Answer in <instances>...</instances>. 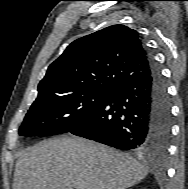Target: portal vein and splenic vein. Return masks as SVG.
<instances>
[{
  "instance_id": "obj_1",
  "label": "portal vein and splenic vein",
  "mask_w": 188,
  "mask_h": 189,
  "mask_svg": "<svg viewBox=\"0 0 188 189\" xmlns=\"http://www.w3.org/2000/svg\"><path fill=\"white\" fill-rule=\"evenodd\" d=\"M78 185H79V183H74V186L76 189H78Z\"/></svg>"
}]
</instances>
